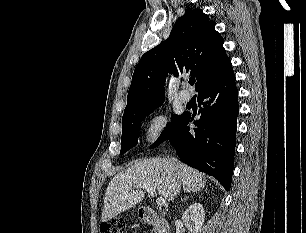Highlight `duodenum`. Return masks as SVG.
<instances>
[{"instance_id":"duodenum-1","label":"duodenum","mask_w":306,"mask_h":233,"mask_svg":"<svg viewBox=\"0 0 306 233\" xmlns=\"http://www.w3.org/2000/svg\"><path fill=\"white\" fill-rule=\"evenodd\" d=\"M142 220L156 229V233H170V225L166 219L150 207H142L139 211Z\"/></svg>"}]
</instances>
